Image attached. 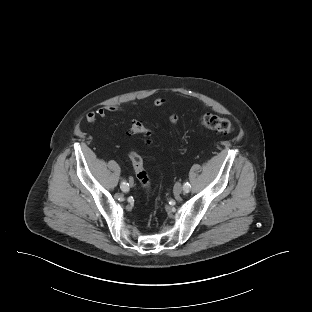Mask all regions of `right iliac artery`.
<instances>
[{
  "label": "right iliac artery",
  "mask_w": 312,
  "mask_h": 312,
  "mask_svg": "<svg viewBox=\"0 0 312 312\" xmlns=\"http://www.w3.org/2000/svg\"><path fill=\"white\" fill-rule=\"evenodd\" d=\"M120 188L122 189V191L127 192L129 190V184L126 181H122Z\"/></svg>",
  "instance_id": "right-iliac-artery-1"
}]
</instances>
